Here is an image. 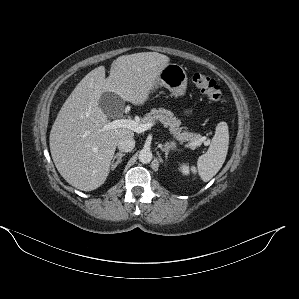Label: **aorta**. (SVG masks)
Segmentation results:
<instances>
[{
	"mask_svg": "<svg viewBox=\"0 0 299 299\" xmlns=\"http://www.w3.org/2000/svg\"><path fill=\"white\" fill-rule=\"evenodd\" d=\"M152 152L149 150V149H142L140 152H139V161L143 164H147V163H150L151 160H152Z\"/></svg>",
	"mask_w": 299,
	"mask_h": 299,
	"instance_id": "762f6f07",
	"label": "aorta"
}]
</instances>
